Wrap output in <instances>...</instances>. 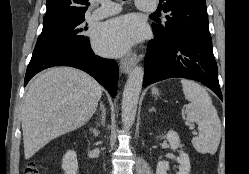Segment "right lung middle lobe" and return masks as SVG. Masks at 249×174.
<instances>
[{
	"instance_id": "obj_1",
	"label": "right lung middle lobe",
	"mask_w": 249,
	"mask_h": 174,
	"mask_svg": "<svg viewBox=\"0 0 249 174\" xmlns=\"http://www.w3.org/2000/svg\"><path fill=\"white\" fill-rule=\"evenodd\" d=\"M84 20V17H80L43 26L34 51L56 46L90 44L88 37L83 35L87 30Z\"/></svg>"
}]
</instances>
